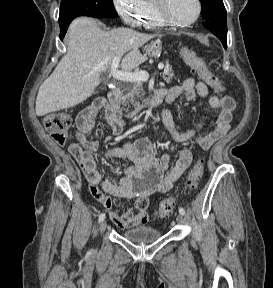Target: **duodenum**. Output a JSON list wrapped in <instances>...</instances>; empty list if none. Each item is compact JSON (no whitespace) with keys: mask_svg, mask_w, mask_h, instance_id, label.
<instances>
[{"mask_svg":"<svg viewBox=\"0 0 273 288\" xmlns=\"http://www.w3.org/2000/svg\"><path fill=\"white\" fill-rule=\"evenodd\" d=\"M120 99H121V94L120 91L116 88H113L109 91L108 96H107V106H106V114L109 116H119L121 110H120ZM163 100H165V92L164 90H158L152 94V97L138 105L137 107L133 108L130 110L128 113V118H135L138 116H141L149 110L150 106L152 104H159ZM163 120L165 119V116L162 115Z\"/></svg>","mask_w":273,"mask_h":288,"instance_id":"duodenum-1","label":"duodenum"}]
</instances>
